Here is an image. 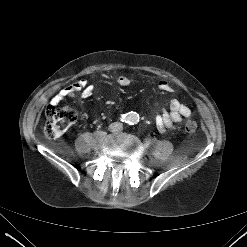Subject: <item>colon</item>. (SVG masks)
<instances>
[{
  "label": "colon",
  "mask_w": 247,
  "mask_h": 247,
  "mask_svg": "<svg viewBox=\"0 0 247 247\" xmlns=\"http://www.w3.org/2000/svg\"><path fill=\"white\" fill-rule=\"evenodd\" d=\"M45 115L44 132L48 138L53 139L60 137L76 120L77 110L74 105L59 106L51 103L47 106ZM184 130L188 135L194 134L197 130V122L193 119L187 120Z\"/></svg>",
  "instance_id": "obj_1"
}]
</instances>
